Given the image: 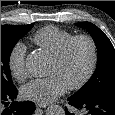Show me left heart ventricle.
Listing matches in <instances>:
<instances>
[{
	"label": "left heart ventricle",
	"mask_w": 115,
	"mask_h": 115,
	"mask_svg": "<svg viewBox=\"0 0 115 115\" xmlns=\"http://www.w3.org/2000/svg\"><path fill=\"white\" fill-rule=\"evenodd\" d=\"M90 64V49L84 42L75 43L61 64L53 60L48 69V75L59 76L69 86L78 82L87 72Z\"/></svg>",
	"instance_id": "b2bd125f"
}]
</instances>
